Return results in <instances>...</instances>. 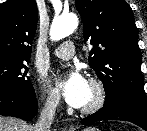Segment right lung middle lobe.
<instances>
[{
    "instance_id": "1",
    "label": "right lung middle lobe",
    "mask_w": 147,
    "mask_h": 131,
    "mask_svg": "<svg viewBox=\"0 0 147 131\" xmlns=\"http://www.w3.org/2000/svg\"><path fill=\"white\" fill-rule=\"evenodd\" d=\"M29 60L0 58V91L27 95L33 86L27 76Z\"/></svg>"
}]
</instances>
